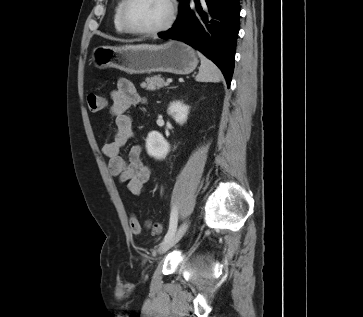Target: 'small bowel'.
I'll list each match as a JSON object with an SVG mask.
<instances>
[{"label": "small bowel", "mask_w": 363, "mask_h": 317, "mask_svg": "<svg viewBox=\"0 0 363 317\" xmlns=\"http://www.w3.org/2000/svg\"><path fill=\"white\" fill-rule=\"evenodd\" d=\"M132 82L120 79L115 90L111 92V112L115 122L111 129V141L103 145V153L108 157L109 171L121 183L127 184L129 191L135 195L143 192L149 181L151 169L142 160L143 148L131 147L128 159H124L121 150L134 136V123L126 111L132 106L143 103Z\"/></svg>", "instance_id": "c3829d8e"}]
</instances>
